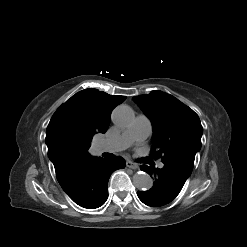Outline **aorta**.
Instances as JSON below:
<instances>
[{"label": "aorta", "mask_w": 247, "mask_h": 247, "mask_svg": "<svg viewBox=\"0 0 247 247\" xmlns=\"http://www.w3.org/2000/svg\"><path fill=\"white\" fill-rule=\"evenodd\" d=\"M112 120L115 125L121 128L130 126L134 120V112L127 105L117 106L112 113ZM133 184L139 190H149L152 185L151 177L145 172H138L133 176Z\"/></svg>", "instance_id": "762f6f07"}]
</instances>
